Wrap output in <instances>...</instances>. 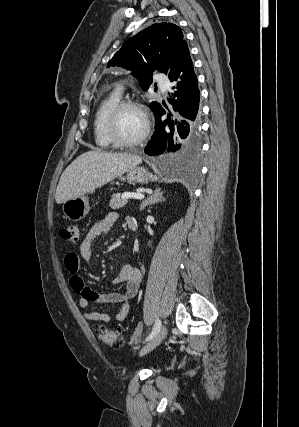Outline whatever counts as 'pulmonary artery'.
Returning a JSON list of instances; mask_svg holds the SVG:
<instances>
[{
	"label": "pulmonary artery",
	"mask_w": 299,
	"mask_h": 427,
	"mask_svg": "<svg viewBox=\"0 0 299 427\" xmlns=\"http://www.w3.org/2000/svg\"><path fill=\"white\" fill-rule=\"evenodd\" d=\"M158 82H159V85L161 87L162 92H165L168 89V87H169V81L163 75H160L159 79H158ZM122 90H123V86L122 85H119L116 88V91L118 93H121Z\"/></svg>",
	"instance_id": "e3ab8cb5"
}]
</instances>
